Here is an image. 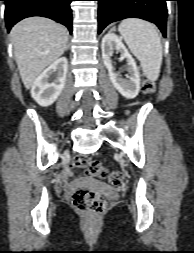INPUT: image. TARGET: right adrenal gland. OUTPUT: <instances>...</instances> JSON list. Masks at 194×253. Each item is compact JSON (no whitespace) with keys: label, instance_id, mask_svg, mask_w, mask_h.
<instances>
[{"label":"right adrenal gland","instance_id":"2a0ac1e0","mask_svg":"<svg viewBox=\"0 0 194 253\" xmlns=\"http://www.w3.org/2000/svg\"><path fill=\"white\" fill-rule=\"evenodd\" d=\"M69 48V44H67V46H66V50Z\"/></svg>","mask_w":194,"mask_h":253}]
</instances>
